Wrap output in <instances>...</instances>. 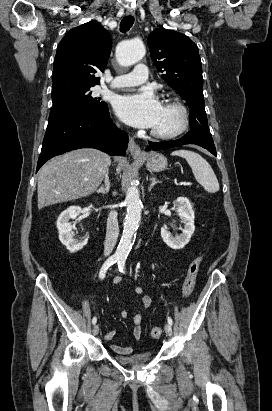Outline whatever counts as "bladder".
I'll use <instances>...</instances> for the list:
<instances>
[{
	"label": "bladder",
	"instance_id": "bladder-1",
	"mask_svg": "<svg viewBox=\"0 0 272 411\" xmlns=\"http://www.w3.org/2000/svg\"><path fill=\"white\" fill-rule=\"evenodd\" d=\"M151 358L152 353L150 352L115 356L118 363L129 367L145 365L151 360Z\"/></svg>",
	"mask_w": 272,
	"mask_h": 411
}]
</instances>
